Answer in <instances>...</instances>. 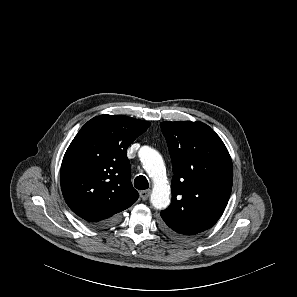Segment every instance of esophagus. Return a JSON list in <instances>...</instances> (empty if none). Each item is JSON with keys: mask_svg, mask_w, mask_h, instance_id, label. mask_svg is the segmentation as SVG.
Instances as JSON below:
<instances>
[{"mask_svg": "<svg viewBox=\"0 0 297 297\" xmlns=\"http://www.w3.org/2000/svg\"><path fill=\"white\" fill-rule=\"evenodd\" d=\"M151 194V190H142L140 191V197L142 200H147Z\"/></svg>", "mask_w": 297, "mask_h": 297, "instance_id": "1", "label": "esophagus"}]
</instances>
